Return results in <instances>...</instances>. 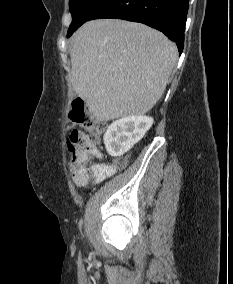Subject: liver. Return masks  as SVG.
<instances>
[{
	"instance_id": "liver-1",
	"label": "liver",
	"mask_w": 233,
	"mask_h": 284,
	"mask_svg": "<svg viewBox=\"0 0 233 284\" xmlns=\"http://www.w3.org/2000/svg\"><path fill=\"white\" fill-rule=\"evenodd\" d=\"M70 55L74 91L97 121L151 110L178 59L163 33L118 19L86 22L72 38Z\"/></svg>"
}]
</instances>
